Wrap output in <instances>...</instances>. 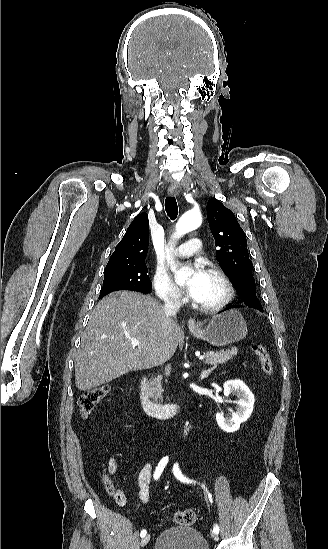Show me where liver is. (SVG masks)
<instances>
[{"label": "liver", "instance_id": "6515ba94", "mask_svg": "<svg viewBox=\"0 0 328 549\" xmlns=\"http://www.w3.org/2000/svg\"><path fill=\"white\" fill-rule=\"evenodd\" d=\"M129 339L140 345L133 347ZM178 343L179 327L156 299L131 291L111 293L93 309L83 333L75 359L76 387L89 391L129 371L158 367L173 357Z\"/></svg>", "mask_w": 328, "mask_h": 549}]
</instances>
